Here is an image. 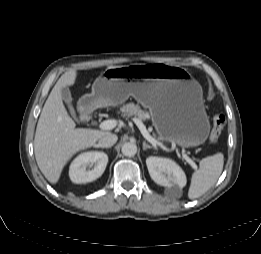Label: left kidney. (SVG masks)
Segmentation results:
<instances>
[{
    "instance_id": "5707ae66",
    "label": "left kidney",
    "mask_w": 261,
    "mask_h": 254,
    "mask_svg": "<svg viewBox=\"0 0 261 254\" xmlns=\"http://www.w3.org/2000/svg\"><path fill=\"white\" fill-rule=\"evenodd\" d=\"M146 165L152 180L165 187L178 186L183 188L187 179L182 168L173 160L150 156L146 159Z\"/></svg>"
}]
</instances>
